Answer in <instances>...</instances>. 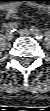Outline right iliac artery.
Returning a JSON list of instances; mask_svg holds the SVG:
<instances>
[{
	"label": "right iliac artery",
	"mask_w": 50,
	"mask_h": 111,
	"mask_svg": "<svg viewBox=\"0 0 50 111\" xmlns=\"http://www.w3.org/2000/svg\"><path fill=\"white\" fill-rule=\"evenodd\" d=\"M17 27H18V24L13 22V23H9L7 26H6V31L8 32H14L17 30Z\"/></svg>",
	"instance_id": "obj_1"
}]
</instances>
